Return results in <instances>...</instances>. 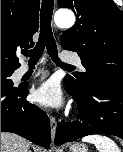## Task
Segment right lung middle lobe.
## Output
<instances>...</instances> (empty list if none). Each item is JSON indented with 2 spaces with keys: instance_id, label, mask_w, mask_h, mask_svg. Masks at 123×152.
Listing matches in <instances>:
<instances>
[{
  "instance_id": "right-lung-middle-lobe-1",
  "label": "right lung middle lobe",
  "mask_w": 123,
  "mask_h": 152,
  "mask_svg": "<svg viewBox=\"0 0 123 152\" xmlns=\"http://www.w3.org/2000/svg\"><path fill=\"white\" fill-rule=\"evenodd\" d=\"M15 69L1 68V87H13V82L10 78Z\"/></svg>"
}]
</instances>
